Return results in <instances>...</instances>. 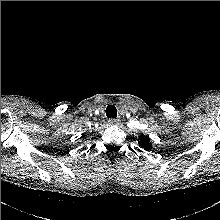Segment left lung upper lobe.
<instances>
[{
  "label": "left lung upper lobe",
  "instance_id": "5c2ea615",
  "mask_svg": "<svg viewBox=\"0 0 220 220\" xmlns=\"http://www.w3.org/2000/svg\"><path fill=\"white\" fill-rule=\"evenodd\" d=\"M138 143L141 147H143L146 151L151 150L152 146L150 145V138L148 136L142 135L138 140Z\"/></svg>",
  "mask_w": 220,
  "mask_h": 220
}]
</instances>
